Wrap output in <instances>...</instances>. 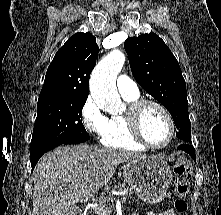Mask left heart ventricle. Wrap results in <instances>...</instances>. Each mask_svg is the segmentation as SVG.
<instances>
[{
  "label": "left heart ventricle",
  "instance_id": "b2bd125f",
  "mask_svg": "<svg viewBox=\"0 0 221 215\" xmlns=\"http://www.w3.org/2000/svg\"><path fill=\"white\" fill-rule=\"evenodd\" d=\"M141 128L145 138L154 145H162L169 136V122L163 112L153 105H147L141 116Z\"/></svg>",
  "mask_w": 221,
  "mask_h": 215
}]
</instances>
